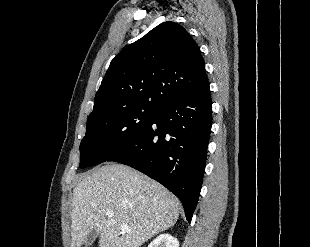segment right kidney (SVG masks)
<instances>
[{
  "label": "right kidney",
  "instance_id": "1",
  "mask_svg": "<svg viewBox=\"0 0 310 247\" xmlns=\"http://www.w3.org/2000/svg\"><path fill=\"white\" fill-rule=\"evenodd\" d=\"M148 247H179L177 238L166 233L155 238Z\"/></svg>",
  "mask_w": 310,
  "mask_h": 247
}]
</instances>
